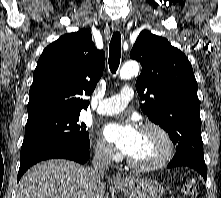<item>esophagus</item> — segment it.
Here are the masks:
<instances>
[{
  "instance_id": "obj_1",
  "label": "esophagus",
  "mask_w": 221,
  "mask_h": 198,
  "mask_svg": "<svg viewBox=\"0 0 221 198\" xmlns=\"http://www.w3.org/2000/svg\"><path fill=\"white\" fill-rule=\"evenodd\" d=\"M120 28H121L120 24L116 23V24L112 25V29L114 31H119ZM113 181L115 183H122V182H124V178L120 174H115V175H113Z\"/></svg>"
}]
</instances>
